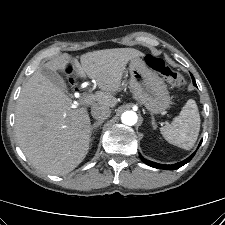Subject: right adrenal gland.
I'll use <instances>...</instances> for the list:
<instances>
[{"mask_svg":"<svg viewBox=\"0 0 225 225\" xmlns=\"http://www.w3.org/2000/svg\"><path fill=\"white\" fill-rule=\"evenodd\" d=\"M102 123H103L102 120L96 121L95 123H93V125L91 126V129H90V136H92V133H94L95 130H96L99 126L102 125Z\"/></svg>","mask_w":225,"mask_h":225,"instance_id":"1","label":"right adrenal gland"}]
</instances>
